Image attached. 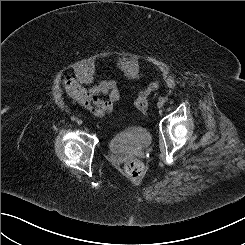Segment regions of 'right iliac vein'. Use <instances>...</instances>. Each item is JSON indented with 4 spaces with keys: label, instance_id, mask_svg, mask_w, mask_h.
<instances>
[{
    "label": "right iliac vein",
    "instance_id": "right-iliac-vein-1",
    "mask_svg": "<svg viewBox=\"0 0 245 245\" xmlns=\"http://www.w3.org/2000/svg\"><path fill=\"white\" fill-rule=\"evenodd\" d=\"M76 122H77L78 125H81L83 123V121L81 119H77Z\"/></svg>",
    "mask_w": 245,
    "mask_h": 245
}]
</instances>
